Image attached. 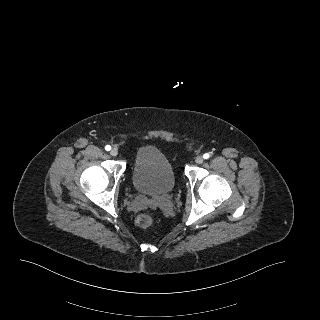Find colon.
Listing matches in <instances>:
<instances>
[{
	"mask_svg": "<svg viewBox=\"0 0 320 320\" xmlns=\"http://www.w3.org/2000/svg\"><path fill=\"white\" fill-rule=\"evenodd\" d=\"M153 223V218L147 214H141L136 218V224L142 228H147Z\"/></svg>",
	"mask_w": 320,
	"mask_h": 320,
	"instance_id": "colon-1",
	"label": "colon"
}]
</instances>
